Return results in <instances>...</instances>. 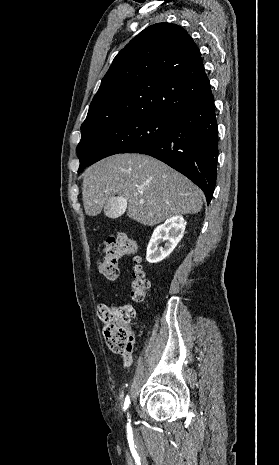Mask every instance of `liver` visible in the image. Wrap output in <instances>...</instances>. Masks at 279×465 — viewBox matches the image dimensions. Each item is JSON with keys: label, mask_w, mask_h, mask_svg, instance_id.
I'll return each instance as SVG.
<instances>
[{"label": "liver", "mask_w": 279, "mask_h": 465, "mask_svg": "<svg viewBox=\"0 0 279 465\" xmlns=\"http://www.w3.org/2000/svg\"><path fill=\"white\" fill-rule=\"evenodd\" d=\"M115 195L128 203L127 216L146 226L196 214L203 205L202 191L187 177L142 154L113 155L86 170L82 198L88 216L100 214Z\"/></svg>", "instance_id": "6515ba94"}]
</instances>
